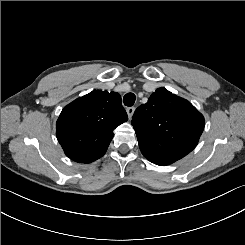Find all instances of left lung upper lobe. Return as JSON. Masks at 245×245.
Segmentation results:
<instances>
[{"label":"left lung upper lobe","instance_id":"1","mask_svg":"<svg viewBox=\"0 0 245 245\" xmlns=\"http://www.w3.org/2000/svg\"><path fill=\"white\" fill-rule=\"evenodd\" d=\"M140 150L151 162L179 160L197 145L204 129L203 115L186 99L158 88L133 115Z\"/></svg>","mask_w":245,"mask_h":245}]
</instances>
